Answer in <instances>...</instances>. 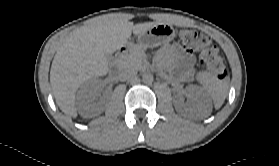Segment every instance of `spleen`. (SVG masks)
<instances>
[{"label":"spleen","mask_w":279,"mask_h":166,"mask_svg":"<svg viewBox=\"0 0 279 166\" xmlns=\"http://www.w3.org/2000/svg\"><path fill=\"white\" fill-rule=\"evenodd\" d=\"M197 80L212 99L214 107L220 108L228 95L229 78L218 80L208 72H199Z\"/></svg>","instance_id":"spleen-1"}]
</instances>
